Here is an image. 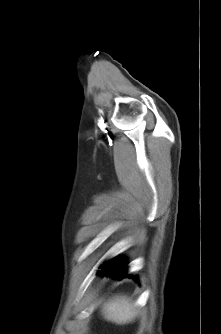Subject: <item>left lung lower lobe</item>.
I'll list each match as a JSON object with an SVG mask.
<instances>
[{
	"instance_id": "obj_1",
	"label": "left lung lower lobe",
	"mask_w": 221,
	"mask_h": 334,
	"mask_svg": "<svg viewBox=\"0 0 221 334\" xmlns=\"http://www.w3.org/2000/svg\"><path fill=\"white\" fill-rule=\"evenodd\" d=\"M124 261L125 260L123 258L113 259L101 266V271H99V273L105 274L106 276L115 277L116 279H122L126 277L130 279H137L136 276L127 274L126 268L123 264Z\"/></svg>"
}]
</instances>
